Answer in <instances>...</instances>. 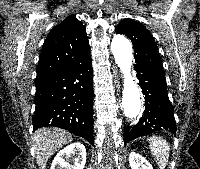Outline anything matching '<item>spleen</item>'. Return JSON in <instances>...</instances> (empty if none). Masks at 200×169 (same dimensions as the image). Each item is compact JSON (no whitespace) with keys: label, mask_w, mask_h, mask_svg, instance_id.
<instances>
[{"label":"spleen","mask_w":200,"mask_h":169,"mask_svg":"<svg viewBox=\"0 0 200 169\" xmlns=\"http://www.w3.org/2000/svg\"><path fill=\"white\" fill-rule=\"evenodd\" d=\"M149 147L154 158L157 160L160 169H165L170 153V147L166 140L160 136H152L149 139Z\"/></svg>","instance_id":"obj_1"}]
</instances>
